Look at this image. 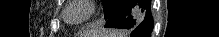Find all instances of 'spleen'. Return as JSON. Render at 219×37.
<instances>
[{
  "label": "spleen",
  "instance_id": "1",
  "mask_svg": "<svg viewBox=\"0 0 219 37\" xmlns=\"http://www.w3.org/2000/svg\"><path fill=\"white\" fill-rule=\"evenodd\" d=\"M107 37H128L125 31L112 30Z\"/></svg>",
  "mask_w": 219,
  "mask_h": 37
}]
</instances>
